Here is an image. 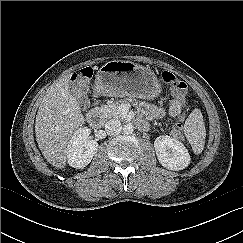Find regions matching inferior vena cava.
Wrapping results in <instances>:
<instances>
[{
	"label": "inferior vena cava",
	"instance_id": "602c4592",
	"mask_svg": "<svg viewBox=\"0 0 243 243\" xmlns=\"http://www.w3.org/2000/svg\"><path fill=\"white\" fill-rule=\"evenodd\" d=\"M121 130L122 125L118 119H111L105 124V131L108 135H118Z\"/></svg>",
	"mask_w": 243,
	"mask_h": 243
}]
</instances>
